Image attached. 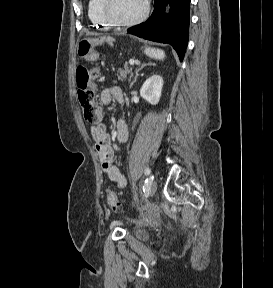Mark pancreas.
<instances>
[{
  "label": "pancreas",
  "instance_id": "pancreas-1",
  "mask_svg": "<svg viewBox=\"0 0 273 288\" xmlns=\"http://www.w3.org/2000/svg\"><path fill=\"white\" fill-rule=\"evenodd\" d=\"M127 74L132 75V68L125 65L123 69L118 70V73H117L118 80L123 81L126 78Z\"/></svg>",
  "mask_w": 273,
  "mask_h": 288
}]
</instances>
